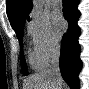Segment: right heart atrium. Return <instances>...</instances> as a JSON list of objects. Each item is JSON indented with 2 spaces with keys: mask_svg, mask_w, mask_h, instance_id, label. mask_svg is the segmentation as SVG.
<instances>
[{
  "mask_svg": "<svg viewBox=\"0 0 89 89\" xmlns=\"http://www.w3.org/2000/svg\"><path fill=\"white\" fill-rule=\"evenodd\" d=\"M28 33L31 37L34 52L48 63L57 53L60 41L47 16L33 13L28 21Z\"/></svg>",
  "mask_w": 89,
  "mask_h": 89,
  "instance_id": "d8ad5b80",
  "label": "right heart atrium"
}]
</instances>
